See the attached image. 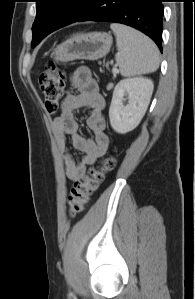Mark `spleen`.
Returning a JSON list of instances; mask_svg holds the SVG:
<instances>
[{"instance_id": "1", "label": "spleen", "mask_w": 195, "mask_h": 299, "mask_svg": "<svg viewBox=\"0 0 195 299\" xmlns=\"http://www.w3.org/2000/svg\"><path fill=\"white\" fill-rule=\"evenodd\" d=\"M110 28L116 36V62L124 77L148 74L159 67V50L156 44L143 33L119 23Z\"/></svg>"}]
</instances>
